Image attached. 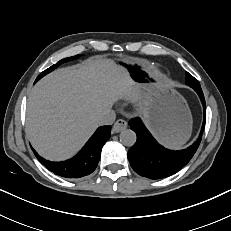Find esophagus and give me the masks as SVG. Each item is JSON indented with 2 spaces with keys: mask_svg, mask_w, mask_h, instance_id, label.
Listing matches in <instances>:
<instances>
[{
  "mask_svg": "<svg viewBox=\"0 0 231 231\" xmlns=\"http://www.w3.org/2000/svg\"><path fill=\"white\" fill-rule=\"evenodd\" d=\"M126 127H127V122L125 120L119 119L112 126V132L119 133L122 130L126 129Z\"/></svg>",
  "mask_w": 231,
  "mask_h": 231,
  "instance_id": "34e87169",
  "label": "esophagus"
}]
</instances>
